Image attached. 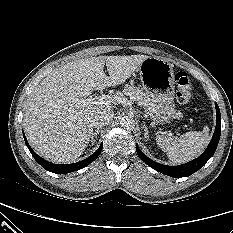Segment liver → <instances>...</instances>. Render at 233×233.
<instances>
[{"label":"liver","mask_w":233,"mask_h":233,"mask_svg":"<svg viewBox=\"0 0 233 233\" xmlns=\"http://www.w3.org/2000/svg\"><path fill=\"white\" fill-rule=\"evenodd\" d=\"M149 56H98L69 62L52 71L29 95L23 126L32 148L52 162L78 158L93 133L92 120L112 105L81 103L93 90L123 84ZM104 65L109 76L104 73Z\"/></svg>","instance_id":"obj_1"}]
</instances>
